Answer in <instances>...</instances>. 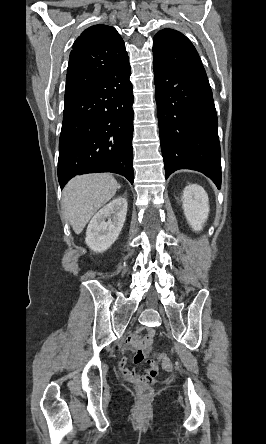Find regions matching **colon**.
Segmentation results:
<instances>
[{
  "mask_svg": "<svg viewBox=\"0 0 266 444\" xmlns=\"http://www.w3.org/2000/svg\"><path fill=\"white\" fill-rule=\"evenodd\" d=\"M157 359L161 362L162 366L165 369L171 368V361L167 355L165 354L157 355ZM152 393H153L152 388L147 384H141L137 387V394L143 400L150 398Z\"/></svg>",
  "mask_w": 266,
  "mask_h": 444,
  "instance_id": "1",
  "label": "colon"
}]
</instances>
